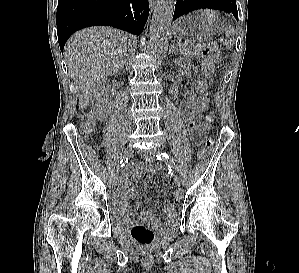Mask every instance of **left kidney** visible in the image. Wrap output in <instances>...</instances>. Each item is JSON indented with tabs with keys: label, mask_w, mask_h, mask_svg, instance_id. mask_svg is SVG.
<instances>
[{
	"label": "left kidney",
	"mask_w": 299,
	"mask_h": 273,
	"mask_svg": "<svg viewBox=\"0 0 299 273\" xmlns=\"http://www.w3.org/2000/svg\"><path fill=\"white\" fill-rule=\"evenodd\" d=\"M176 64L178 66H181L183 67L184 69H186L188 72H187V76L190 77L191 76V72H190V69L189 67H187L186 63L183 61V59H175L172 61V64ZM171 64V65H172Z\"/></svg>",
	"instance_id": "obj_1"
}]
</instances>
